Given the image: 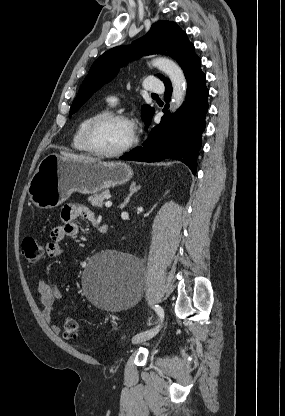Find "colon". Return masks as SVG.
I'll return each instance as SVG.
<instances>
[{
  "mask_svg": "<svg viewBox=\"0 0 285 416\" xmlns=\"http://www.w3.org/2000/svg\"><path fill=\"white\" fill-rule=\"evenodd\" d=\"M22 251L26 261L32 265H37L43 257V248L33 237H27L22 242ZM65 336L73 341H79L81 332L79 324L75 319H67L64 324Z\"/></svg>",
  "mask_w": 285,
  "mask_h": 416,
  "instance_id": "1",
  "label": "colon"
}]
</instances>
